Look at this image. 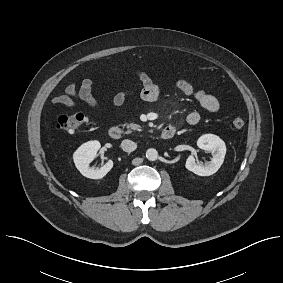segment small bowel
<instances>
[{
	"mask_svg": "<svg viewBox=\"0 0 283 283\" xmlns=\"http://www.w3.org/2000/svg\"><path fill=\"white\" fill-rule=\"evenodd\" d=\"M135 73L141 84L140 97L147 102L155 101L160 94L159 86L152 81L146 72L142 70H136ZM177 86L184 94L187 96H192L206 111L211 113L218 111L219 102L213 94L205 90H196L189 82L185 80H180ZM128 95L129 92L127 90L118 92L113 98V105L116 108H121L124 105ZM74 98L81 100L92 108L99 107L96 99L92 95V82L89 79H84L79 86L70 84L66 88V94L54 97L52 99V103L68 108H76L77 105L74 101ZM200 119V113L198 111H192L187 115L186 122L189 125H196L199 123Z\"/></svg>",
	"mask_w": 283,
	"mask_h": 283,
	"instance_id": "1",
	"label": "small bowel"
}]
</instances>
